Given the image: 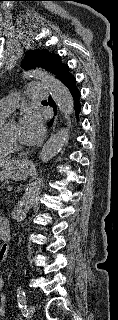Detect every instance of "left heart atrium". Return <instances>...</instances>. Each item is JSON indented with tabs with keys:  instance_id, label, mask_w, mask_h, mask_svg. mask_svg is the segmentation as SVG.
Returning <instances> with one entry per match:
<instances>
[{
	"instance_id": "obj_1",
	"label": "left heart atrium",
	"mask_w": 118,
	"mask_h": 320,
	"mask_svg": "<svg viewBox=\"0 0 118 320\" xmlns=\"http://www.w3.org/2000/svg\"><path fill=\"white\" fill-rule=\"evenodd\" d=\"M21 140L24 144L34 145L38 143L43 134L44 126L39 113L27 112L18 125Z\"/></svg>"
}]
</instances>
